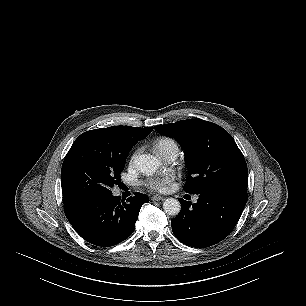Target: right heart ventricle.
Instances as JSON below:
<instances>
[{
	"instance_id": "obj_1",
	"label": "right heart ventricle",
	"mask_w": 306,
	"mask_h": 306,
	"mask_svg": "<svg viewBox=\"0 0 306 306\" xmlns=\"http://www.w3.org/2000/svg\"><path fill=\"white\" fill-rule=\"evenodd\" d=\"M153 147L163 158H165L169 153L173 151L178 152L177 143L173 139L168 137L158 138L154 141Z\"/></svg>"
}]
</instances>
